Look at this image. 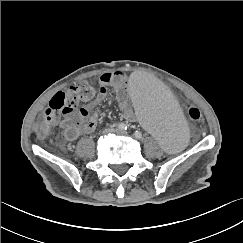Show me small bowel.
<instances>
[{
  "label": "small bowel",
  "instance_id": "1",
  "mask_svg": "<svg viewBox=\"0 0 243 243\" xmlns=\"http://www.w3.org/2000/svg\"><path fill=\"white\" fill-rule=\"evenodd\" d=\"M126 81L127 78L123 73L102 74L99 78L98 93L95 99L84 105L77 112L65 114V118L60 124L63 130L62 139L73 141L80 135L90 133L95 129L98 112L94 111V109L106 98L110 86L116 91L118 105L123 116L128 120H135L125 88Z\"/></svg>",
  "mask_w": 243,
  "mask_h": 243
}]
</instances>
